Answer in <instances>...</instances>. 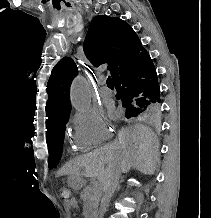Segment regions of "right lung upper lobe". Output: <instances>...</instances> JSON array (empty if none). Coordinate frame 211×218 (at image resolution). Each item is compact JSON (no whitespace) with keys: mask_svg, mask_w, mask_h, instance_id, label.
<instances>
[{"mask_svg":"<svg viewBox=\"0 0 211 218\" xmlns=\"http://www.w3.org/2000/svg\"><path fill=\"white\" fill-rule=\"evenodd\" d=\"M83 49L94 66L107 63L112 77L145 51L138 36L125 21L104 15L92 19ZM77 73L76 64L69 57L62 58L53 68L47 84L46 135L55 123L70 113V85Z\"/></svg>","mask_w":211,"mask_h":218,"instance_id":"obj_1","label":"right lung upper lobe"}]
</instances>
